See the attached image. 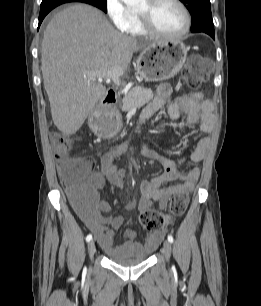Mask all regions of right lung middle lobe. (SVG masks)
<instances>
[{"instance_id":"1","label":"right lung middle lobe","mask_w":261,"mask_h":306,"mask_svg":"<svg viewBox=\"0 0 261 306\" xmlns=\"http://www.w3.org/2000/svg\"><path fill=\"white\" fill-rule=\"evenodd\" d=\"M66 2L67 1L63 0H42L41 7H45L48 5L62 4ZM83 2L96 6L99 9L103 10L104 12H107V0H84Z\"/></svg>"}]
</instances>
